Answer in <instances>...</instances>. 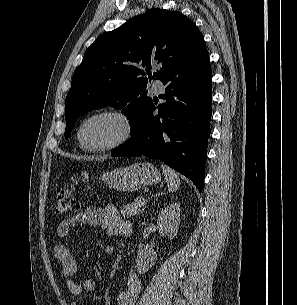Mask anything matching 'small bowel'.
Wrapping results in <instances>:
<instances>
[{
    "instance_id": "1",
    "label": "small bowel",
    "mask_w": 297,
    "mask_h": 305,
    "mask_svg": "<svg viewBox=\"0 0 297 305\" xmlns=\"http://www.w3.org/2000/svg\"><path fill=\"white\" fill-rule=\"evenodd\" d=\"M81 224L98 226L105 229L110 236L124 235L125 230L131 229L130 223L121 217L118 208L114 205L88 207L58 223L53 232V252L61 263V276L67 288L77 297L96 290V286L91 280H74L77 273V262L63 242L71 228ZM114 252L115 247L112 244L105 247L107 255H112ZM140 292V278L135 271L130 270L126 276V288L117 295L116 304L135 305ZM71 305H77V302H73Z\"/></svg>"
}]
</instances>
